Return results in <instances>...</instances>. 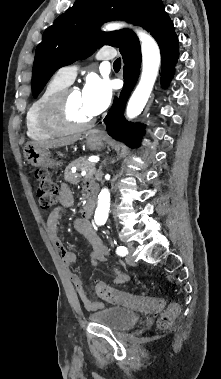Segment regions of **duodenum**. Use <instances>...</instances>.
<instances>
[{"label":"duodenum","mask_w":221,"mask_h":379,"mask_svg":"<svg viewBox=\"0 0 221 379\" xmlns=\"http://www.w3.org/2000/svg\"><path fill=\"white\" fill-rule=\"evenodd\" d=\"M86 191H87L88 200L84 208V214L87 217H91L96 207L97 187L95 184L90 183L87 186Z\"/></svg>","instance_id":"410a0bca"}]
</instances>
